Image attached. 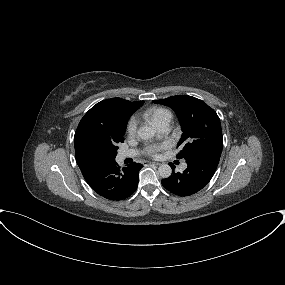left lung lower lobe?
Returning a JSON list of instances; mask_svg holds the SVG:
<instances>
[{
	"label": "left lung lower lobe",
	"instance_id": "1",
	"mask_svg": "<svg viewBox=\"0 0 285 285\" xmlns=\"http://www.w3.org/2000/svg\"><path fill=\"white\" fill-rule=\"evenodd\" d=\"M221 153L208 152L186 159L187 169L174 172L161 181L164 188L178 196H190L203 189L213 177L220 160Z\"/></svg>",
	"mask_w": 285,
	"mask_h": 285
}]
</instances>
